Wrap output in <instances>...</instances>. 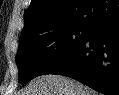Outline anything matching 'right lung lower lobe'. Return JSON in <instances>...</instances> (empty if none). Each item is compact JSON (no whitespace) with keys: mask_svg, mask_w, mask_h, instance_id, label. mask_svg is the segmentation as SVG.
I'll use <instances>...</instances> for the list:
<instances>
[{"mask_svg":"<svg viewBox=\"0 0 119 95\" xmlns=\"http://www.w3.org/2000/svg\"><path fill=\"white\" fill-rule=\"evenodd\" d=\"M44 74L67 76L102 94L119 95V17L92 28Z\"/></svg>","mask_w":119,"mask_h":95,"instance_id":"98d812e1","label":"right lung lower lobe"}]
</instances>
